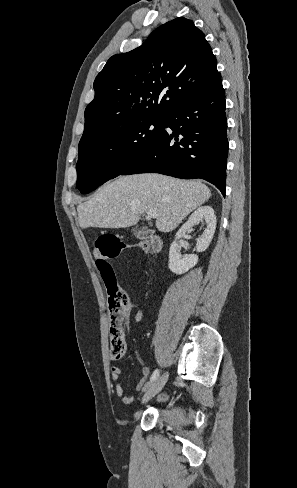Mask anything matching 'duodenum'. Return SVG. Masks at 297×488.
Segmentation results:
<instances>
[{"label": "duodenum", "mask_w": 297, "mask_h": 488, "mask_svg": "<svg viewBox=\"0 0 297 488\" xmlns=\"http://www.w3.org/2000/svg\"><path fill=\"white\" fill-rule=\"evenodd\" d=\"M139 236H140L141 238H144V237H149V238H150V240H151V243H152L153 249H154V250H156V251H158V250L160 249V247H161V241H160V239H159L158 237L153 236V235H151V234H150V233H148V232H147V233H141V234H139Z\"/></svg>", "instance_id": "1"}]
</instances>
